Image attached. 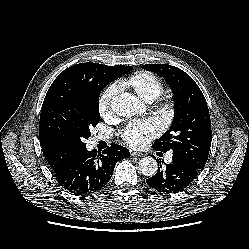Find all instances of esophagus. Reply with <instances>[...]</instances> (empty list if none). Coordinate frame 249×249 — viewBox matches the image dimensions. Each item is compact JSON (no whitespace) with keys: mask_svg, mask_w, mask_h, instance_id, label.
<instances>
[{"mask_svg":"<svg viewBox=\"0 0 249 249\" xmlns=\"http://www.w3.org/2000/svg\"><path fill=\"white\" fill-rule=\"evenodd\" d=\"M131 156L141 157V156H143V153L131 151Z\"/></svg>","mask_w":249,"mask_h":249,"instance_id":"1","label":"esophagus"}]
</instances>
